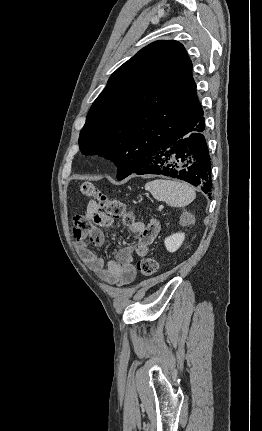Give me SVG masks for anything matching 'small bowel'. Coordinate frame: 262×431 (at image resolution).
Here are the masks:
<instances>
[{
	"label": "small bowel",
	"instance_id": "c3829d8e",
	"mask_svg": "<svg viewBox=\"0 0 262 431\" xmlns=\"http://www.w3.org/2000/svg\"><path fill=\"white\" fill-rule=\"evenodd\" d=\"M114 225V219L100 211L97 203L91 200L87 204L85 214L77 219L72 235L89 269L106 282L122 287L134 280L136 276L134 260L148 253L149 246L160 230V222L151 219L147 224L142 222L129 224V232L136 238L134 243L118 250L115 257L106 262L93 252L89 245L97 247L103 245L104 235L101 228H111Z\"/></svg>",
	"mask_w": 262,
	"mask_h": 431
}]
</instances>
